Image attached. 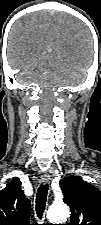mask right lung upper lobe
Returning a JSON list of instances; mask_svg holds the SVG:
<instances>
[{
  "instance_id": "right-lung-upper-lobe-1",
  "label": "right lung upper lobe",
  "mask_w": 101,
  "mask_h": 225,
  "mask_svg": "<svg viewBox=\"0 0 101 225\" xmlns=\"http://www.w3.org/2000/svg\"><path fill=\"white\" fill-rule=\"evenodd\" d=\"M30 207L21 182L10 181L0 191V225H29Z\"/></svg>"
}]
</instances>
